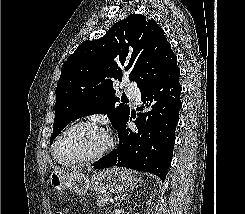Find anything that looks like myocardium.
<instances>
[{
	"instance_id": "myocardium-1",
	"label": "myocardium",
	"mask_w": 245,
	"mask_h": 214,
	"mask_svg": "<svg viewBox=\"0 0 245 214\" xmlns=\"http://www.w3.org/2000/svg\"><path fill=\"white\" fill-rule=\"evenodd\" d=\"M81 126H90L93 127L95 129H97L103 136L105 139V143L103 145V147L94 155L86 157V158H81V159H75V160H61L58 156H57V147L59 145V142L61 141V139L71 130L77 128V127H81ZM113 147V138L110 135V133L103 127L101 126L99 123L92 121V120H82V121H78L74 124H72L71 126H69L68 128H66L54 141V144L52 146V155L53 158L60 164L65 165V166H77V165H84V164H89V163H94L98 160H100L101 158H103Z\"/></svg>"
}]
</instances>
